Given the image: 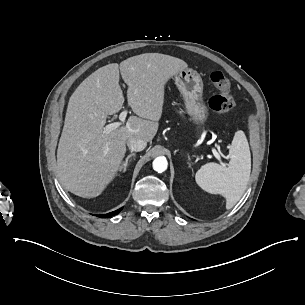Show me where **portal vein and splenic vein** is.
<instances>
[{
  "instance_id": "1",
  "label": "portal vein and splenic vein",
  "mask_w": 305,
  "mask_h": 305,
  "mask_svg": "<svg viewBox=\"0 0 305 305\" xmlns=\"http://www.w3.org/2000/svg\"><path fill=\"white\" fill-rule=\"evenodd\" d=\"M127 114H128V109H124L119 117L121 120H124L126 117H127ZM118 126L117 123H111V124H108L104 127V131L106 132H111L113 131L116 127ZM213 154L215 156V158L218 160V162L223 166V167H226V164L222 161L221 159V156L219 155V153L216 151V150H213Z\"/></svg>"
}]
</instances>
